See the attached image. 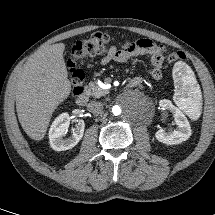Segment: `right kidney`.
<instances>
[{
    "instance_id": "right-kidney-1",
    "label": "right kidney",
    "mask_w": 215,
    "mask_h": 215,
    "mask_svg": "<svg viewBox=\"0 0 215 215\" xmlns=\"http://www.w3.org/2000/svg\"><path fill=\"white\" fill-rule=\"evenodd\" d=\"M70 124L68 113L59 115L52 123L49 130L50 145L55 151H64L73 148L83 137L85 123L83 120H77L76 128L72 131V135L63 138Z\"/></svg>"
}]
</instances>
